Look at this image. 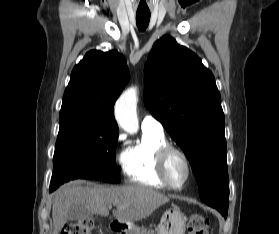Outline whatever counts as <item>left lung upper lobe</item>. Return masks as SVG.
I'll return each instance as SVG.
<instances>
[{"instance_id":"left-lung-upper-lobe-1","label":"left lung upper lobe","mask_w":279,"mask_h":234,"mask_svg":"<svg viewBox=\"0 0 279 234\" xmlns=\"http://www.w3.org/2000/svg\"><path fill=\"white\" fill-rule=\"evenodd\" d=\"M144 76L146 107L189 159L201 200L226 218L225 120L213 74L196 54L165 35L153 45Z\"/></svg>"}]
</instances>
